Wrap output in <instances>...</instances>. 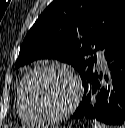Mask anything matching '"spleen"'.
Segmentation results:
<instances>
[{
	"mask_svg": "<svg viewBox=\"0 0 125 128\" xmlns=\"http://www.w3.org/2000/svg\"><path fill=\"white\" fill-rule=\"evenodd\" d=\"M92 128H109L106 125L94 120L92 123Z\"/></svg>",
	"mask_w": 125,
	"mask_h": 128,
	"instance_id": "1",
	"label": "spleen"
}]
</instances>
